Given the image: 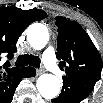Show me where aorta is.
<instances>
[{"label":"aorta","mask_w":103,"mask_h":103,"mask_svg":"<svg viewBox=\"0 0 103 103\" xmlns=\"http://www.w3.org/2000/svg\"><path fill=\"white\" fill-rule=\"evenodd\" d=\"M27 40L34 49H42L49 41V32L45 25L33 23L27 29ZM36 87L45 99H54L60 93V80L52 74H43L37 79Z\"/></svg>","instance_id":"1"}]
</instances>
